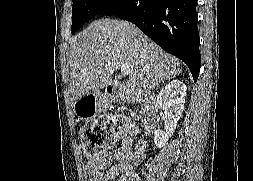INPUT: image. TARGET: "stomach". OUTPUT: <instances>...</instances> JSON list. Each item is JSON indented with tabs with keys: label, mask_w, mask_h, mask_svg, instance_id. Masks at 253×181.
Instances as JSON below:
<instances>
[{
	"label": "stomach",
	"mask_w": 253,
	"mask_h": 181,
	"mask_svg": "<svg viewBox=\"0 0 253 181\" xmlns=\"http://www.w3.org/2000/svg\"><path fill=\"white\" fill-rule=\"evenodd\" d=\"M108 96L101 90L92 92L74 103V111L81 119L98 116L107 106Z\"/></svg>",
	"instance_id": "0dacf381"
}]
</instances>
